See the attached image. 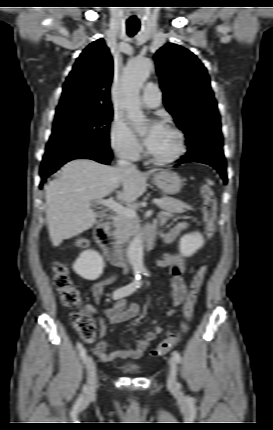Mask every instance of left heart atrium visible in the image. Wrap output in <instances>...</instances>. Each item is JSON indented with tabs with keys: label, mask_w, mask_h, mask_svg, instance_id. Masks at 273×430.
Listing matches in <instances>:
<instances>
[{
	"label": "left heart atrium",
	"mask_w": 273,
	"mask_h": 430,
	"mask_svg": "<svg viewBox=\"0 0 273 430\" xmlns=\"http://www.w3.org/2000/svg\"><path fill=\"white\" fill-rule=\"evenodd\" d=\"M163 127L159 123H153L144 137L145 145L150 149L154 146Z\"/></svg>",
	"instance_id": "obj_1"
}]
</instances>
